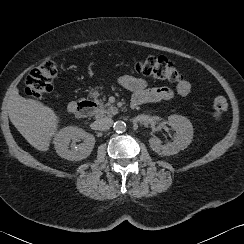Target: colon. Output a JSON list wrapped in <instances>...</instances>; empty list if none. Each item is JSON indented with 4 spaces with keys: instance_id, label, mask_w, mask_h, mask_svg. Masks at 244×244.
<instances>
[{
    "instance_id": "5ec220e1",
    "label": "colon",
    "mask_w": 244,
    "mask_h": 244,
    "mask_svg": "<svg viewBox=\"0 0 244 244\" xmlns=\"http://www.w3.org/2000/svg\"><path fill=\"white\" fill-rule=\"evenodd\" d=\"M130 68L147 76L168 82H180L182 75L165 57L149 56L131 64ZM58 67L53 61H46L33 68L25 80V92L28 96L40 99L52 92L53 81ZM228 110V102L224 97H216L213 101L212 119L219 122Z\"/></svg>"
}]
</instances>
